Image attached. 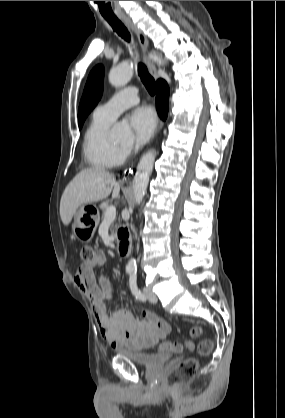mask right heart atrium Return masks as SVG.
<instances>
[{
    "label": "right heart atrium",
    "mask_w": 285,
    "mask_h": 418,
    "mask_svg": "<svg viewBox=\"0 0 285 418\" xmlns=\"http://www.w3.org/2000/svg\"><path fill=\"white\" fill-rule=\"evenodd\" d=\"M120 153L123 157L127 156L130 153V148L129 147H121L120 148Z\"/></svg>",
    "instance_id": "obj_1"
}]
</instances>
